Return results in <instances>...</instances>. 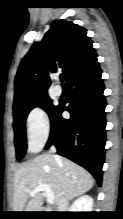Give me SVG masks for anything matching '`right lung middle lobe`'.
<instances>
[{
    "label": "right lung middle lobe",
    "instance_id": "1",
    "mask_svg": "<svg viewBox=\"0 0 123 219\" xmlns=\"http://www.w3.org/2000/svg\"><path fill=\"white\" fill-rule=\"evenodd\" d=\"M37 106L44 109L48 113L50 118L58 107L52 104V100L49 98L48 94L38 96L13 107V127L15 131L14 141L16 148V157L18 160L22 159L27 149L25 134V123L27 115L30 110Z\"/></svg>",
    "mask_w": 123,
    "mask_h": 219
}]
</instances>
